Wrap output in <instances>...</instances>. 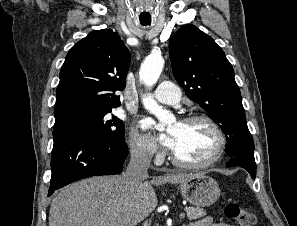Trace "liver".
<instances>
[{
	"mask_svg": "<svg viewBox=\"0 0 297 226\" xmlns=\"http://www.w3.org/2000/svg\"><path fill=\"white\" fill-rule=\"evenodd\" d=\"M192 175L170 174L134 187L123 175L81 180L53 199L49 226H135L157 206L152 184H177Z\"/></svg>",
	"mask_w": 297,
	"mask_h": 226,
	"instance_id": "6515ba94",
	"label": "liver"
}]
</instances>
